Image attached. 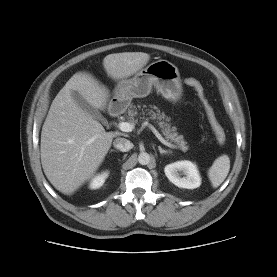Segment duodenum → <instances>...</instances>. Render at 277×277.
Masks as SVG:
<instances>
[{
  "mask_svg": "<svg viewBox=\"0 0 277 277\" xmlns=\"http://www.w3.org/2000/svg\"><path fill=\"white\" fill-rule=\"evenodd\" d=\"M111 114L113 116H116L118 114V108L116 106H112V108H111Z\"/></svg>",
  "mask_w": 277,
  "mask_h": 277,
  "instance_id": "obj_1",
  "label": "duodenum"
}]
</instances>
